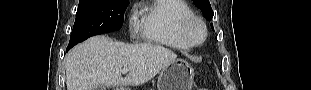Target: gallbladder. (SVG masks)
Masks as SVG:
<instances>
[{
  "label": "gallbladder",
  "instance_id": "1",
  "mask_svg": "<svg viewBox=\"0 0 311 90\" xmlns=\"http://www.w3.org/2000/svg\"><path fill=\"white\" fill-rule=\"evenodd\" d=\"M95 90H106L104 85H98Z\"/></svg>",
  "mask_w": 311,
  "mask_h": 90
}]
</instances>
